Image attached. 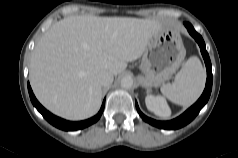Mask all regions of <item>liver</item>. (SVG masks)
<instances>
[{"label":"liver","instance_id":"liver-1","mask_svg":"<svg viewBox=\"0 0 238 158\" xmlns=\"http://www.w3.org/2000/svg\"><path fill=\"white\" fill-rule=\"evenodd\" d=\"M158 21L129 17L72 16L54 23L30 60L33 91L49 111L69 120L95 115L102 86L97 74L123 72L142 56Z\"/></svg>","mask_w":238,"mask_h":158}]
</instances>
